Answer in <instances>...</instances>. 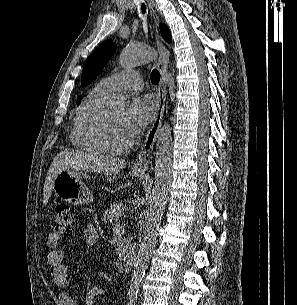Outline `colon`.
I'll list each match as a JSON object with an SVG mask.
<instances>
[{
    "mask_svg": "<svg viewBox=\"0 0 297 305\" xmlns=\"http://www.w3.org/2000/svg\"><path fill=\"white\" fill-rule=\"evenodd\" d=\"M74 230L73 215L67 205L57 206L55 217L51 224V232L59 237H69Z\"/></svg>",
    "mask_w": 297,
    "mask_h": 305,
    "instance_id": "colon-1",
    "label": "colon"
}]
</instances>
